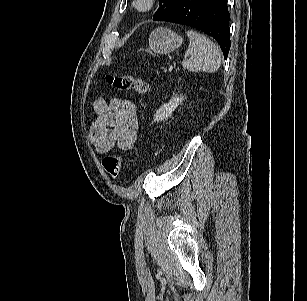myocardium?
Returning <instances> with one entry per match:
<instances>
[{"label": "myocardium", "instance_id": "1", "mask_svg": "<svg viewBox=\"0 0 307 301\" xmlns=\"http://www.w3.org/2000/svg\"><path fill=\"white\" fill-rule=\"evenodd\" d=\"M157 4V0H133V8L142 14L150 13Z\"/></svg>", "mask_w": 307, "mask_h": 301}]
</instances>
